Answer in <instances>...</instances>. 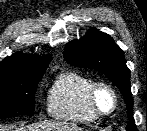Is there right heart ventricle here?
I'll return each instance as SVG.
<instances>
[{"label":"right heart ventricle","instance_id":"1","mask_svg":"<svg viewBox=\"0 0 147 131\" xmlns=\"http://www.w3.org/2000/svg\"><path fill=\"white\" fill-rule=\"evenodd\" d=\"M94 81L74 70L63 71L56 76L48 93V114L59 120L90 124L97 120L88 106L87 94Z\"/></svg>","mask_w":147,"mask_h":131}]
</instances>
